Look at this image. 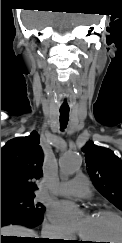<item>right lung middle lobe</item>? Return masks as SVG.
I'll return each instance as SVG.
<instances>
[{"label": "right lung middle lobe", "instance_id": "1", "mask_svg": "<svg viewBox=\"0 0 122 243\" xmlns=\"http://www.w3.org/2000/svg\"><path fill=\"white\" fill-rule=\"evenodd\" d=\"M34 198L35 195L1 197V208L18 209L41 217L44 214V206L34 202Z\"/></svg>", "mask_w": 122, "mask_h": 243}]
</instances>
